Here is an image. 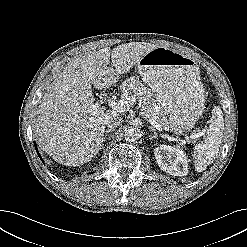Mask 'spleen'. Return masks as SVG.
Listing matches in <instances>:
<instances>
[{"mask_svg": "<svg viewBox=\"0 0 247 247\" xmlns=\"http://www.w3.org/2000/svg\"><path fill=\"white\" fill-rule=\"evenodd\" d=\"M223 130L224 120L222 110L219 107H215L212 111L207 141L195 147L194 158L195 170L197 172H203L209 164L213 163L219 152Z\"/></svg>", "mask_w": 247, "mask_h": 247, "instance_id": "spleen-1", "label": "spleen"}]
</instances>
